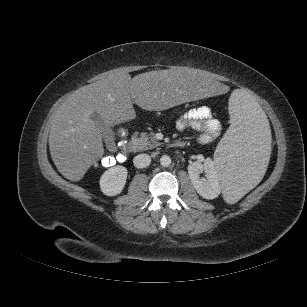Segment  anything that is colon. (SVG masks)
<instances>
[{
	"label": "colon",
	"instance_id": "5ec220e1",
	"mask_svg": "<svg viewBox=\"0 0 307 307\" xmlns=\"http://www.w3.org/2000/svg\"><path fill=\"white\" fill-rule=\"evenodd\" d=\"M118 135L120 137L119 142L116 145L115 152L111 154L105 155L100 161L99 164L104 167L114 166L117 163L123 161L127 154L126 147H127V136L128 133L126 129L120 127L118 129Z\"/></svg>",
	"mask_w": 307,
	"mask_h": 307
}]
</instances>
